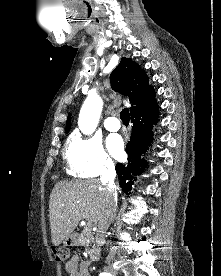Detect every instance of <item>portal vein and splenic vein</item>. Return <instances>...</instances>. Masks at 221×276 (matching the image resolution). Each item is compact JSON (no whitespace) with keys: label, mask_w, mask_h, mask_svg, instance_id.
<instances>
[{"label":"portal vein and splenic vein","mask_w":221,"mask_h":276,"mask_svg":"<svg viewBox=\"0 0 221 276\" xmlns=\"http://www.w3.org/2000/svg\"><path fill=\"white\" fill-rule=\"evenodd\" d=\"M86 226H87V227H90V226H91V223L89 222Z\"/></svg>","instance_id":"portal-vein-and-splenic-vein-1"}]
</instances>
